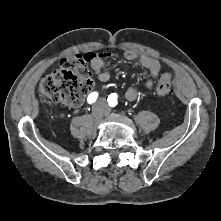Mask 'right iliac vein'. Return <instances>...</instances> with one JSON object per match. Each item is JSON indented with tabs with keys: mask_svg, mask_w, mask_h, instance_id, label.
I'll return each mask as SVG.
<instances>
[{
	"mask_svg": "<svg viewBox=\"0 0 221 221\" xmlns=\"http://www.w3.org/2000/svg\"><path fill=\"white\" fill-rule=\"evenodd\" d=\"M104 115V108L101 105L95 106L92 111V117L96 123H99Z\"/></svg>",
	"mask_w": 221,
	"mask_h": 221,
	"instance_id": "right-iliac-vein-1",
	"label": "right iliac vein"
}]
</instances>
